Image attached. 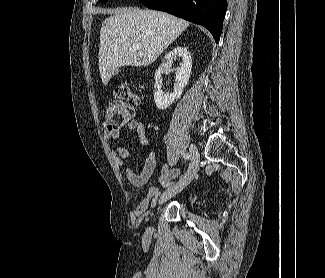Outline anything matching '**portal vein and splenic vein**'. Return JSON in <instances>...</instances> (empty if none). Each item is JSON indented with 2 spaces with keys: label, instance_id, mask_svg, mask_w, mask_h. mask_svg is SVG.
<instances>
[{
  "label": "portal vein and splenic vein",
  "instance_id": "18ae733b",
  "mask_svg": "<svg viewBox=\"0 0 325 278\" xmlns=\"http://www.w3.org/2000/svg\"><path fill=\"white\" fill-rule=\"evenodd\" d=\"M133 47H134L135 49H138V50H139V49L141 48V45H140V44H136V45H134Z\"/></svg>",
  "mask_w": 325,
  "mask_h": 278
}]
</instances>
